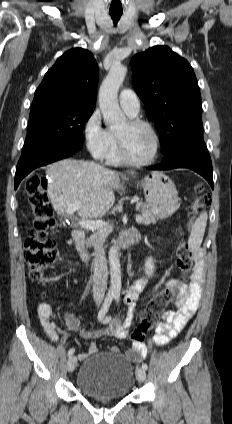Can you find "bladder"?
I'll use <instances>...</instances> for the list:
<instances>
[{"label":"bladder","instance_id":"bladder-1","mask_svg":"<svg viewBox=\"0 0 232 424\" xmlns=\"http://www.w3.org/2000/svg\"><path fill=\"white\" fill-rule=\"evenodd\" d=\"M135 384V367L120 353L95 354L83 361L77 388L86 396L98 399H122Z\"/></svg>","mask_w":232,"mask_h":424}]
</instances>
